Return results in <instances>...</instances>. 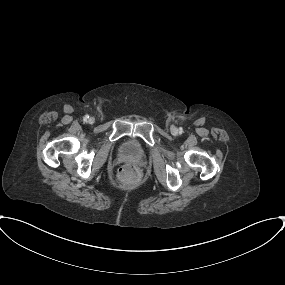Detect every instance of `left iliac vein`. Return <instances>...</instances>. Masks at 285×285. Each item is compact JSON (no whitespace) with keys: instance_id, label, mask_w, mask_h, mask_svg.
Here are the masks:
<instances>
[{"instance_id":"4c4485c4","label":"left iliac vein","mask_w":285,"mask_h":285,"mask_svg":"<svg viewBox=\"0 0 285 285\" xmlns=\"http://www.w3.org/2000/svg\"><path fill=\"white\" fill-rule=\"evenodd\" d=\"M171 131L176 134L177 133V129L175 127H172Z\"/></svg>"}]
</instances>
